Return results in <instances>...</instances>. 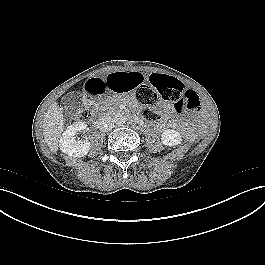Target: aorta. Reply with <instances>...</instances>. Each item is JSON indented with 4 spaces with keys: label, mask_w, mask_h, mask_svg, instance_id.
Instances as JSON below:
<instances>
[{
    "label": "aorta",
    "mask_w": 265,
    "mask_h": 265,
    "mask_svg": "<svg viewBox=\"0 0 265 265\" xmlns=\"http://www.w3.org/2000/svg\"><path fill=\"white\" fill-rule=\"evenodd\" d=\"M114 123L117 125L124 124L126 121V117L120 113L114 115L113 117Z\"/></svg>",
    "instance_id": "762f6f07"
}]
</instances>
